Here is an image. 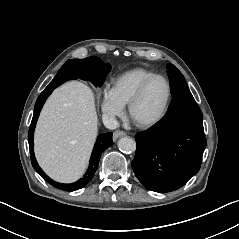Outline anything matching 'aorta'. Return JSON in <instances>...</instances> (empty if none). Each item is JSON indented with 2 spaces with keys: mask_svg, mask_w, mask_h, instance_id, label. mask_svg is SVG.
<instances>
[{
  "mask_svg": "<svg viewBox=\"0 0 239 239\" xmlns=\"http://www.w3.org/2000/svg\"><path fill=\"white\" fill-rule=\"evenodd\" d=\"M118 148L126 153H131L136 150V142L132 138L122 137L118 140Z\"/></svg>",
  "mask_w": 239,
  "mask_h": 239,
  "instance_id": "762f6f07",
  "label": "aorta"
}]
</instances>
